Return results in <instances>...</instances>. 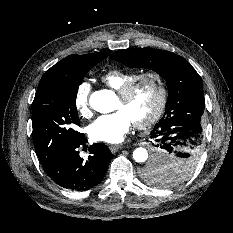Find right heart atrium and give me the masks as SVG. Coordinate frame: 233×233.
<instances>
[{
  "instance_id": "1",
  "label": "right heart atrium",
  "mask_w": 233,
  "mask_h": 233,
  "mask_svg": "<svg viewBox=\"0 0 233 233\" xmlns=\"http://www.w3.org/2000/svg\"><path fill=\"white\" fill-rule=\"evenodd\" d=\"M90 94V83L87 81L80 82L75 91L74 106L79 115L84 118H87L91 115Z\"/></svg>"
}]
</instances>
